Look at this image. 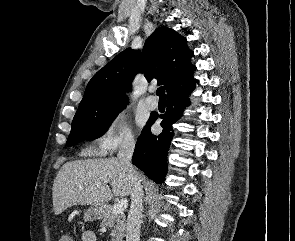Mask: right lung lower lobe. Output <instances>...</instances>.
<instances>
[{
    "label": "right lung lower lobe",
    "mask_w": 295,
    "mask_h": 241,
    "mask_svg": "<svg viewBox=\"0 0 295 241\" xmlns=\"http://www.w3.org/2000/svg\"><path fill=\"white\" fill-rule=\"evenodd\" d=\"M194 86L195 82H192L168 93L165 114L151 115L137 140L132 163L156 183H163L165 180L168 169L167 151L174 135L172 124L181 118L185 107L189 105L187 96ZM159 117L163 119L160 123L163 131L159 135H153L150 127Z\"/></svg>",
    "instance_id": "1"
}]
</instances>
